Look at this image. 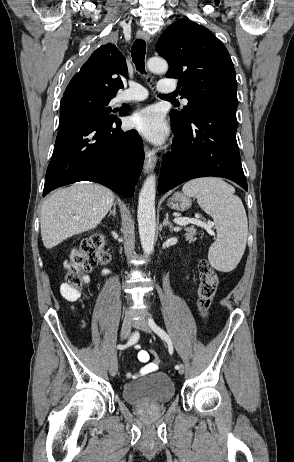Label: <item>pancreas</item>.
Instances as JSON below:
<instances>
[{
	"label": "pancreas",
	"mask_w": 294,
	"mask_h": 462,
	"mask_svg": "<svg viewBox=\"0 0 294 462\" xmlns=\"http://www.w3.org/2000/svg\"><path fill=\"white\" fill-rule=\"evenodd\" d=\"M185 236L189 241H195L196 240V235H197V229L194 226L185 228Z\"/></svg>",
	"instance_id": "cf45deb5"
}]
</instances>
